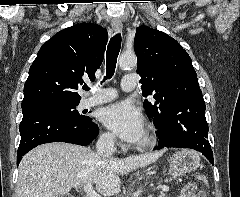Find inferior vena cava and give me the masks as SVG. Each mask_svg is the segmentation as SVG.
<instances>
[{
	"label": "inferior vena cava",
	"instance_id": "1",
	"mask_svg": "<svg viewBox=\"0 0 240 197\" xmlns=\"http://www.w3.org/2000/svg\"><path fill=\"white\" fill-rule=\"evenodd\" d=\"M115 136L113 134H105L100 136L96 143V150L102 158H109L114 153Z\"/></svg>",
	"mask_w": 240,
	"mask_h": 197
}]
</instances>
